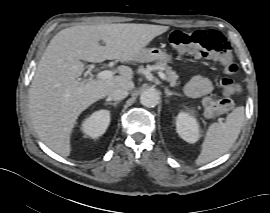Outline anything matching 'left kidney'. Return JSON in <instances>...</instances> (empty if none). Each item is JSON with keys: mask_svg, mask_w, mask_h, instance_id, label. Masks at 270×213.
Here are the masks:
<instances>
[{"mask_svg": "<svg viewBox=\"0 0 270 213\" xmlns=\"http://www.w3.org/2000/svg\"><path fill=\"white\" fill-rule=\"evenodd\" d=\"M176 131L188 143H195L200 137L197 119L188 112H180L176 118Z\"/></svg>", "mask_w": 270, "mask_h": 213, "instance_id": "obj_1", "label": "left kidney"}]
</instances>
